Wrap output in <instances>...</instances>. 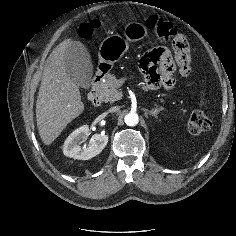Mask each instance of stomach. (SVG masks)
Listing matches in <instances>:
<instances>
[{
	"mask_svg": "<svg viewBox=\"0 0 236 236\" xmlns=\"http://www.w3.org/2000/svg\"><path fill=\"white\" fill-rule=\"evenodd\" d=\"M148 36L147 28L139 22H129L124 28V37L115 34L106 37L99 47V60L103 73L113 67L129 48V42L141 41Z\"/></svg>",
	"mask_w": 236,
	"mask_h": 236,
	"instance_id": "stomach-1",
	"label": "stomach"
}]
</instances>
